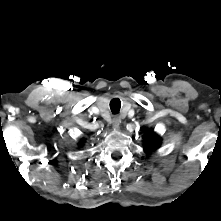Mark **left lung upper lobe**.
<instances>
[{
    "label": "left lung upper lobe",
    "mask_w": 221,
    "mask_h": 221,
    "mask_svg": "<svg viewBox=\"0 0 221 221\" xmlns=\"http://www.w3.org/2000/svg\"><path fill=\"white\" fill-rule=\"evenodd\" d=\"M161 144V139L160 137L153 131L150 130L146 134V139H145V148L144 150L148 153L156 150Z\"/></svg>",
    "instance_id": "5c2ea615"
}]
</instances>
